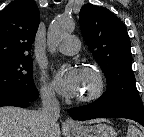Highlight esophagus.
Segmentation results:
<instances>
[{
  "label": "esophagus",
  "instance_id": "esophagus-1",
  "mask_svg": "<svg viewBox=\"0 0 144 137\" xmlns=\"http://www.w3.org/2000/svg\"><path fill=\"white\" fill-rule=\"evenodd\" d=\"M65 126H66L67 128H76V127H77V124H76V122H75L73 119L68 118V119L65 121Z\"/></svg>",
  "mask_w": 144,
  "mask_h": 137
}]
</instances>
